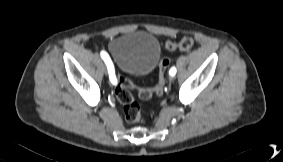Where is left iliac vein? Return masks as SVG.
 Returning <instances> with one entry per match:
<instances>
[{"label": "left iliac vein", "mask_w": 283, "mask_h": 162, "mask_svg": "<svg viewBox=\"0 0 283 162\" xmlns=\"http://www.w3.org/2000/svg\"><path fill=\"white\" fill-rule=\"evenodd\" d=\"M170 80L173 81V80H174V76H171V77H170Z\"/></svg>", "instance_id": "obj_1"}]
</instances>
